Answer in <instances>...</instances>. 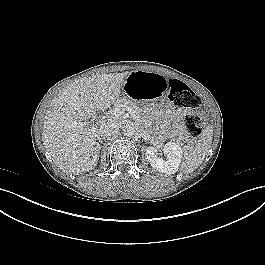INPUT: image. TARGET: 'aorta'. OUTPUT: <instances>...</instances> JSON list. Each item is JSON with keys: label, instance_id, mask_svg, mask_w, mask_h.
<instances>
[{"label": "aorta", "instance_id": "1", "mask_svg": "<svg viewBox=\"0 0 265 265\" xmlns=\"http://www.w3.org/2000/svg\"><path fill=\"white\" fill-rule=\"evenodd\" d=\"M134 133H135V128L132 124L127 123L123 126V134L124 135L131 137L134 135Z\"/></svg>", "mask_w": 265, "mask_h": 265}]
</instances>
